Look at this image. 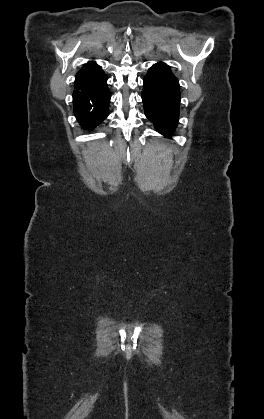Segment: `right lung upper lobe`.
<instances>
[{
    "label": "right lung upper lobe",
    "instance_id": "cb5924a9",
    "mask_svg": "<svg viewBox=\"0 0 264 419\" xmlns=\"http://www.w3.org/2000/svg\"><path fill=\"white\" fill-rule=\"evenodd\" d=\"M103 73L104 72L100 69L99 65H97L95 62H88L77 73L75 83L90 82L102 75Z\"/></svg>",
    "mask_w": 264,
    "mask_h": 419
}]
</instances>
